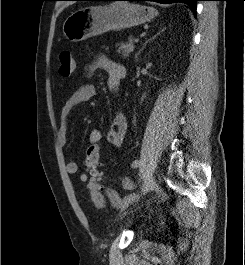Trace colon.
<instances>
[{
    "label": "colon",
    "instance_id": "5ec220e1",
    "mask_svg": "<svg viewBox=\"0 0 245 265\" xmlns=\"http://www.w3.org/2000/svg\"><path fill=\"white\" fill-rule=\"evenodd\" d=\"M75 61L69 51H63L59 55V73L63 77H70L75 71ZM84 166L90 174L88 189L91 194L92 201L97 208H103L104 196L101 192L102 173L99 170V146L90 145L85 154Z\"/></svg>",
    "mask_w": 245,
    "mask_h": 265
}]
</instances>
